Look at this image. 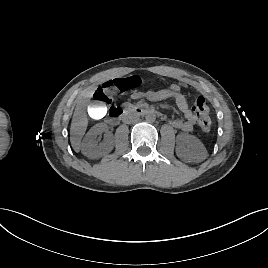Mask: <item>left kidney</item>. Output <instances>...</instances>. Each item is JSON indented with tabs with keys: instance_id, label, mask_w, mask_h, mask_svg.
<instances>
[{
	"instance_id": "1",
	"label": "left kidney",
	"mask_w": 268,
	"mask_h": 268,
	"mask_svg": "<svg viewBox=\"0 0 268 268\" xmlns=\"http://www.w3.org/2000/svg\"><path fill=\"white\" fill-rule=\"evenodd\" d=\"M176 154L186 162H201L206 158L207 151L197 137L188 133H180L177 136Z\"/></svg>"
}]
</instances>
